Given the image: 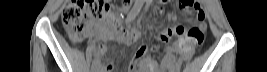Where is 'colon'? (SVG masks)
I'll return each instance as SVG.
<instances>
[{
    "label": "colon",
    "mask_w": 267,
    "mask_h": 72,
    "mask_svg": "<svg viewBox=\"0 0 267 72\" xmlns=\"http://www.w3.org/2000/svg\"><path fill=\"white\" fill-rule=\"evenodd\" d=\"M130 0H124V4H129ZM181 6L188 8L191 15H196L202 10L198 0H182ZM160 11V10H158ZM111 14L110 1L107 0H70L62 10V21L67 29L72 41H81L85 31L90 25L92 18H102L106 21L107 30H115L116 22ZM205 14V12H204ZM177 31L185 35V39L180 43V53L185 59H190L197 46L202 44L205 37L206 25L205 17H198L189 30L178 27ZM123 35L129 40H136L138 35L135 31H124ZM169 31H162L158 34V40L167 43L171 38Z\"/></svg>",
    "instance_id": "1"
}]
</instances>
